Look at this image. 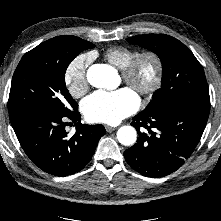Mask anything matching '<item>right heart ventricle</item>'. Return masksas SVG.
<instances>
[{
  "instance_id": "e07e8e85",
  "label": "right heart ventricle",
  "mask_w": 221,
  "mask_h": 221,
  "mask_svg": "<svg viewBox=\"0 0 221 221\" xmlns=\"http://www.w3.org/2000/svg\"><path fill=\"white\" fill-rule=\"evenodd\" d=\"M138 53L136 49L113 46L105 51L104 56L112 65L122 70Z\"/></svg>"
}]
</instances>
